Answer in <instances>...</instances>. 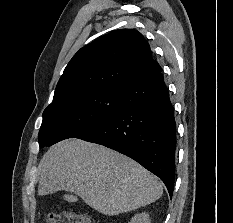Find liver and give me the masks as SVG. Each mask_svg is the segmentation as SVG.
Listing matches in <instances>:
<instances>
[{
  "instance_id": "liver-1",
  "label": "liver",
  "mask_w": 233,
  "mask_h": 223,
  "mask_svg": "<svg viewBox=\"0 0 233 223\" xmlns=\"http://www.w3.org/2000/svg\"><path fill=\"white\" fill-rule=\"evenodd\" d=\"M37 175L38 195L73 191L104 215L148 205L163 193L158 177L137 161L82 139H65L49 147Z\"/></svg>"
}]
</instances>
